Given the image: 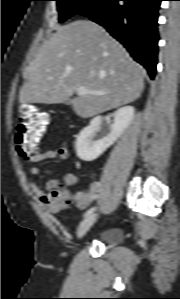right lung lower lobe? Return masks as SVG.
<instances>
[{
  "instance_id": "98d812e1",
  "label": "right lung lower lobe",
  "mask_w": 180,
  "mask_h": 299,
  "mask_svg": "<svg viewBox=\"0 0 180 299\" xmlns=\"http://www.w3.org/2000/svg\"><path fill=\"white\" fill-rule=\"evenodd\" d=\"M162 0H104L83 16L105 27L154 79L158 53V9Z\"/></svg>"
}]
</instances>
